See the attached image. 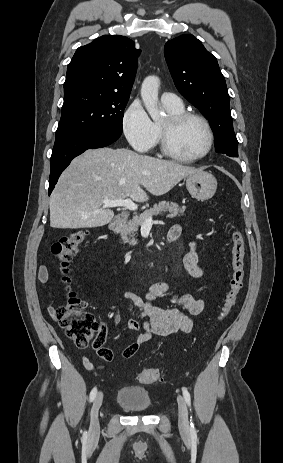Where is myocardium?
I'll return each mask as SVG.
<instances>
[{"label":"myocardium","mask_w":283,"mask_h":463,"mask_svg":"<svg viewBox=\"0 0 283 463\" xmlns=\"http://www.w3.org/2000/svg\"><path fill=\"white\" fill-rule=\"evenodd\" d=\"M190 119H196L204 125L207 132L208 141L205 150L201 154L193 157H186L178 154L172 148L170 143V136L176 128ZM159 142L161 151L165 156L178 162L194 163L204 159L211 152L214 145V132L210 122L203 115L196 112L183 111L178 114H170L164 122L160 123Z\"/></svg>","instance_id":"obj_1"}]
</instances>
